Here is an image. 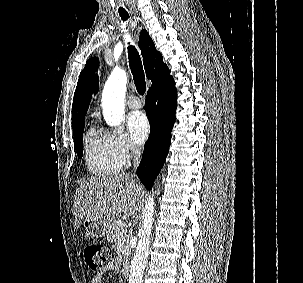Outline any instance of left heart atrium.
Masks as SVG:
<instances>
[{"label": "left heart atrium", "instance_id": "1", "mask_svg": "<svg viewBox=\"0 0 303 283\" xmlns=\"http://www.w3.org/2000/svg\"><path fill=\"white\" fill-rule=\"evenodd\" d=\"M127 126L131 138L137 144L146 141L150 133L149 120L144 112H133L127 119Z\"/></svg>", "mask_w": 303, "mask_h": 283}]
</instances>
